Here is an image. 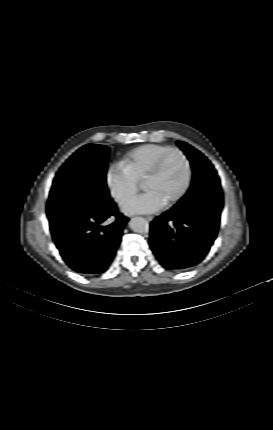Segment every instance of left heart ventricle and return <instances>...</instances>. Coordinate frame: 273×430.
Wrapping results in <instances>:
<instances>
[{
    "instance_id": "left-heart-ventricle-1",
    "label": "left heart ventricle",
    "mask_w": 273,
    "mask_h": 430,
    "mask_svg": "<svg viewBox=\"0 0 273 430\" xmlns=\"http://www.w3.org/2000/svg\"><path fill=\"white\" fill-rule=\"evenodd\" d=\"M186 178L183 160L177 154L168 157L161 174L145 182L147 191H155L165 203L169 202L182 188Z\"/></svg>"
}]
</instances>
